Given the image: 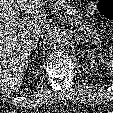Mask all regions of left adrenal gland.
Listing matches in <instances>:
<instances>
[{
	"label": "left adrenal gland",
	"instance_id": "1",
	"mask_svg": "<svg viewBox=\"0 0 113 113\" xmlns=\"http://www.w3.org/2000/svg\"><path fill=\"white\" fill-rule=\"evenodd\" d=\"M74 36L77 38V41H76L77 45L79 44V42H81V43L87 42V39L84 40L83 37L79 36L77 33Z\"/></svg>",
	"mask_w": 113,
	"mask_h": 113
}]
</instances>
